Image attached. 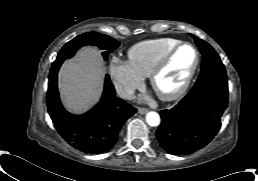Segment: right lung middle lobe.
Segmentation results:
<instances>
[{
    "label": "right lung middle lobe",
    "instance_id": "1",
    "mask_svg": "<svg viewBox=\"0 0 258 181\" xmlns=\"http://www.w3.org/2000/svg\"><path fill=\"white\" fill-rule=\"evenodd\" d=\"M86 45L99 47L102 50L104 59L107 60L109 53L118 48L120 42L104 34L87 32L66 43L58 53L56 60L64 61L72 57L79 48Z\"/></svg>",
    "mask_w": 258,
    "mask_h": 181
}]
</instances>
